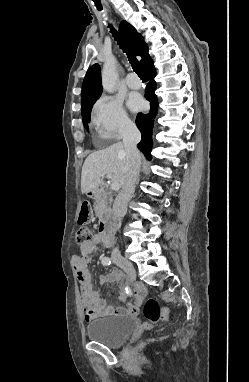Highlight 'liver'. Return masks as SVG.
I'll use <instances>...</instances> for the list:
<instances>
[{"label": "liver", "instance_id": "liver-1", "mask_svg": "<svg viewBox=\"0 0 249 382\" xmlns=\"http://www.w3.org/2000/svg\"><path fill=\"white\" fill-rule=\"evenodd\" d=\"M129 159L122 142L91 153L84 161L81 173V192H96L105 175L123 186Z\"/></svg>", "mask_w": 249, "mask_h": 382}]
</instances>
